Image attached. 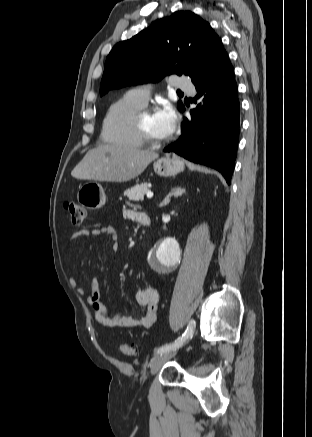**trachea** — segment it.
Wrapping results in <instances>:
<instances>
[{
    "label": "trachea",
    "mask_w": 312,
    "mask_h": 437,
    "mask_svg": "<svg viewBox=\"0 0 312 437\" xmlns=\"http://www.w3.org/2000/svg\"><path fill=\"white\" fill-rule=\"evenodd\" d=\"M177 93H178V94H183L182 91H180V90H178Z\"/></svg>",
    "instance_id": "3493384b"
}]
</instances>
